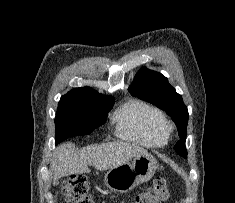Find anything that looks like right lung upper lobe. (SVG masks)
Segmentation results:
<instances>
[{"label":"right lung upper lobe","mask_w":235,"mask_h":203,"mask_svg":"<svg viewBox=\"0 0 235 203\" xmlns=\"http://www.w3.org/2000/svg\"><path fill=\"white\" fill-rule=\"evenodd\" d=\"M70 92H85V93H95L98 94L96 91L89 87H83V88H74Z\"/></svg>","instance_id":"1"}]
</instances>
